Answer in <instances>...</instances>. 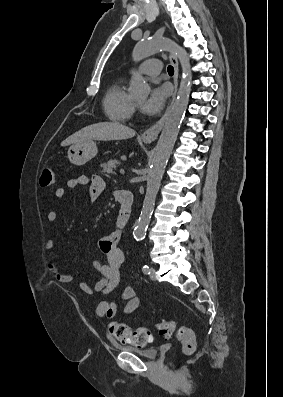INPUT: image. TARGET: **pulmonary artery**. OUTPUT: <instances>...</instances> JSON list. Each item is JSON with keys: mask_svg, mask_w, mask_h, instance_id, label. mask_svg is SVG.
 I'll return each instance as SVG.
<instances>
[{"mask_svg": "<svg viewBox=\"0 0 283 397\" xmlns=\"http://www.w3.org/2000/svg\"><path fill=\"white\" fill-rule=\"evenodd\" d=\"M139 70L145 75L157 76L162 70V64L158 59H148L141 64Z\"/></svg>", "mask_w": 283, "mask_h": 397, "instance_id": "e3ab8cb5", "label": "pulmonary artery"}]
</instances>
